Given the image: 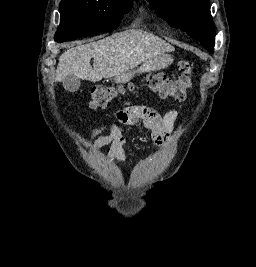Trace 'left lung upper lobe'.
Here are the masks:
<instances>
[{
	"label": "left lung upper lobe",
	"mask_w": 256,
	"mask_h": 267,
	"mask_svg": "<svg viewBox=\"0 0 256 267\" xmlns=\"http://www.w3.org/2000/svg\"><path fill=\"white\" fill-rule=\"evenodd\" d=\"M172 26L186 31L213 53L215 30L209 0H148Z\"/></svg>",
	"instance_id": "5c2ea615"
}]
</instances>
